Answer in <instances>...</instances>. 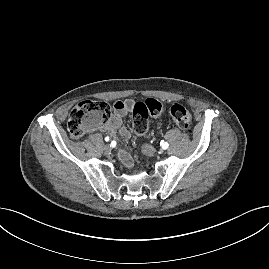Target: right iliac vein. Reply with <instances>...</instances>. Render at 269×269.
Returning <instances> with one entry per match:
<instances>
[{
	"label": "right iliac vein",
	"instance_id": "63e3f726",
	"mask_svg": "<svg viewBox=\"0 0 269 269\" xmlns=\"http://www.w3.org/2000/svg\"><path fill=\"white\" fill-rule=\"evenodd\" d=\"M104 150H105L106 153L111 152V146H110L109 144H106V145L104 146Z\"/></svg>",
	"mask_w": 269,
	"mask_h": 269
}]
</instances>
